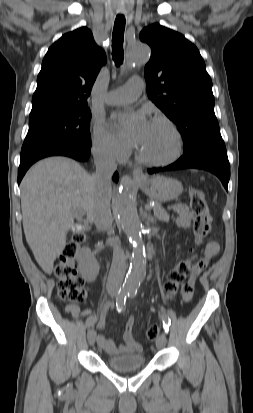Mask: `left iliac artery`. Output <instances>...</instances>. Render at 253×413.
<instances>
[{
    "instance_id": "left-iliac-artery-1",
    "label": "left iliac artery",
    "mask_w": 253,
    "mask_h": 413,
    "mask_svg": "<svg viewBox=\"0 0 253 413\" xmlns=\"http://www.w3.org/2000/svg\"><path fill=\"white\" fill-rule=\"evenodd\" d=\"M136 294H137V289H131L129 291L128 297L133 298V297H135ZM162 323H163V328H164L165 333H168L169 326L171 324L170 318L167 317V316H163L162 317Z\"/></svg>"
}]
</instances>
